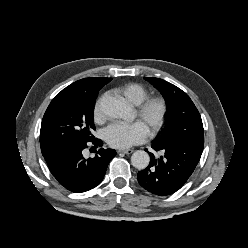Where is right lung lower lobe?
<instances>
[{
  "mask_svg": "<svg viewBox=\"0 0 248 248\" xmlns=\"http://www.w3.org/2000/svg\"><path fill=\"white\" fill-rule=\"evenodd\" d=\"M89 144L101 147L102 141H73L60 145L44 156L52 175L67 190L81 193L98 186L105 175L107 166L116 155L114 149L100 148L95 157L85 159L83 150Z\"/></svg>",
  "mask_w": 248,
  "mask_h": 248,
  "instance_id": "obj_1",
  "label": "right lung lower lobe"
}]
</instances>
